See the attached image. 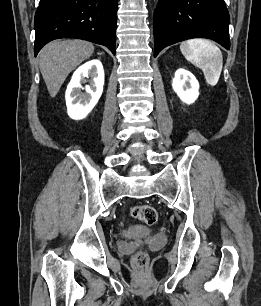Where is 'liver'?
I'll use <instances>...</instances> for the list:
<instances>
[{
    "instance_id": "6515ba94",
    "label": "liver",
    "mask_w": 261,
    "mask_h": 306,
    "mask_svg": "<svg viewBox=\"0 0 261 306\" xmlns=\"http://www.w3.org/2000/svg\"><path fill=\"white\" fill-rule=\"evenodd\" d=\"M94 52V46L83 40H55L39 53V66L51 97H55L65 79Z\"/></svg>"
}]
</instances>
